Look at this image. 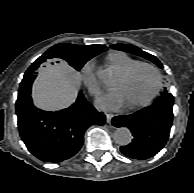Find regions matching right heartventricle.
<instances>
[{"instance_id": "obj_1", "label": "right heart ventricle", "mask_w": 194, "mask_h": 193, "mask_svg": "<svg viewBox=\"0 0 194 193\" xmlns=\"http://www.w3.org/2000/svg\"><path fill=\"white\" fill-rule=\"evenodd\" d=\"M109 63L116 68L120 73L124 72L131 66L139 63L138 60L130 57L123 52H114L108 55L107 57Z\"/></svg>"}]
</instances>
